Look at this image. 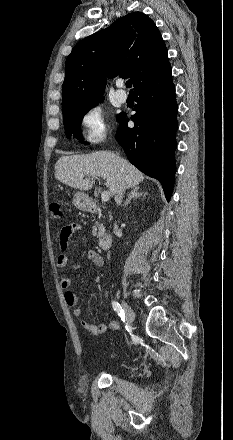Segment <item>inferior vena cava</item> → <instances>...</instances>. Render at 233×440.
<instances>
[{"label":"inferior vena cava","instance_id":"1","mask_svg":"<svg viewBox=\"0 0 233 440\" xmlns=\"http://www.w3.org/2000/svg\"><path fill=\"white\" fill-rule=\"evenodd\" d=\"M124 190H125V185L124 184H121V186H120V188H119V191H118V193L116 194V196H115V202L118 204V205H120L121 204V202H122V198H123V192H124ZM119 230H118V226L115 224L114 225V233H117Z\"/></svg>","mask_w":233,"mask_h":440}]
</instances>
